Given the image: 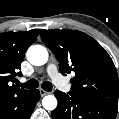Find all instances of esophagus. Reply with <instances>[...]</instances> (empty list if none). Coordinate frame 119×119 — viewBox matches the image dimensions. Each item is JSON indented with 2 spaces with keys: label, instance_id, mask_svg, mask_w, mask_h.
Listing matches in <instances>:
<instances>
[{
  "label": "esophagus",
  "instance_id": "esophagus-1",
  "mask_svg": "<svg viewBox=\"0 0 119 119\" xmlns=\"http://www.w3.org/2000/svg\"><path fill=\"white\" fill-rule=\"evenodd\" d=\"M39 91H40V95H41V97H43V96L49 94L48 92H46V91L43 90V89H40Z\"/></svg>",
  "mask_w": 119,
  "mask_h": 119
}]
</instances>
